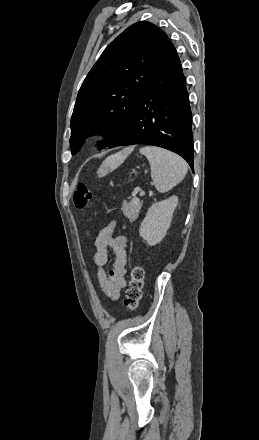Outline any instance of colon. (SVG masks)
Listing matches in <instances>:
<instances>
[{
  "label": "colon",
  "mask_w": 259,
  "mask_h": 440,
  "mask_svg": "<svg viewBox=\"0 0 259 440\" xmlns=\"http://www.w3.org/2000/svg\"><path fill=\"white\" fill-rule=\"evenodd\" d=\"M93 195L84 183H79L73 191V203L79 210H83L91 201ZM144 284V270L138 264L130 271L129 287L126 290L124 305L129 311L135 310L142 298Z\"/></svg>",
  "instance_id": "1"
}]
</instances>
